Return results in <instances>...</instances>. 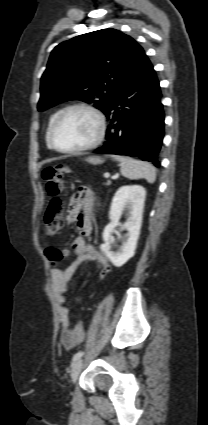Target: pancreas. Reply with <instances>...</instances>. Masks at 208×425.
<instances>
[{
    "label": "pancreas",
    "mask_w": 208,
    "mask_h": 425,
    "mask_svg": "<svg viewBox=\"0 0 208 425\" xmlns=\"http://www.w3.org/2000/svg\"><path fill=\"white\" fill-rule=\"evenodd\" d=\"M111 184V182L110 181H107L106 183H105V185H110Z\"/></svg>",
    "instance_id": "pancreas-1"
}]
</instances>
